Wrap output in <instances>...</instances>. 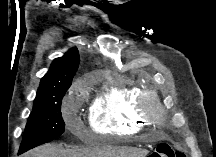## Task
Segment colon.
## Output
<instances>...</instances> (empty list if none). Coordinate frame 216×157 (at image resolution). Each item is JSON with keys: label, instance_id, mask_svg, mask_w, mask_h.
Segmentation results:
<instances>
[{"label": "colon", "instance_id": "1", "mask_svg": "<svg viewBox=\"0 0 216 157\" xmlns=\"http://www.w3.org/2000/svg\"><path fill=\"white\" fill-rule=\"evenodd\" d=\"M149 157H186V155L167 144H160L151 152Z\"/></svg>", "mask_w": 216, "mask_h": 157}]
</instances>
